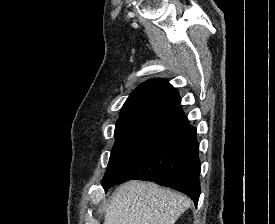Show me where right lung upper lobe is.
Returning <instances> with one entry per match:
<instances>
[{
    "instance_id": "cb5924a9",
    "label": "right lung upper lobe",
    "mask_w": 275,
    "mask_h": 224,
    "mask_svg": "<svg viewBox=\"0 0 275 224\" xmlns=\"http://www.w3.org/2000/svg\"><path fill=\"white\" fill-rule=\"evenodd\" d=\"M181 102L178 92L164 79H152L138 86L123 105L120 117L143 111L168 112Z\"/></svg>"
}]
</instances>
